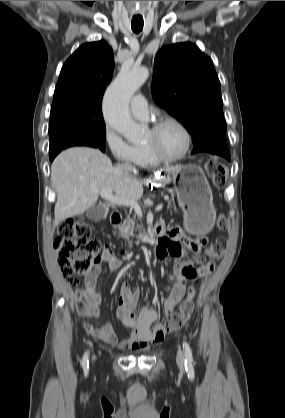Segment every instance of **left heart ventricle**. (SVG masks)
Listing matches in <instances>:
<instances>
[{
  "mask_svg": "<svg viewBox=\"0 0 285 418\" xmlns=\"http://www.w3.org/2000/svg\"><path fill=\"white\" fill-rule=\"evenodd\" d=\"M143 143L152 145L166 157H175L182 152L185 138L177 126L166 124L156 132L150 129Z\"/></svg>",
  "mask_w": 285,
  "mask_h": 418,
  "instance_id": "obj_1",
  "label": "left heart ventricle"
}]
</instances>
